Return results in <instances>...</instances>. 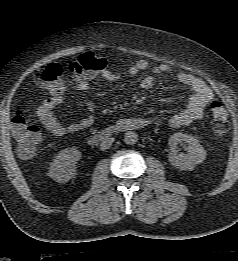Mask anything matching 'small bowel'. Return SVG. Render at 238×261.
Listing matches in <instances>:
<instances>
[{"instance_id":"obj_1","label":"small bowel","mask_w":238,"mask_h":261,"mask_svg":"<svg viewBox=\"0 0 238 261\" xmlns=\"http://www.w3.org/2000/svg\"><path fill=\"white\" fill-rule=\"evenodd\" d=\"M149 67L150 63L147 60H139L123 73L114 72L105 67L99 72V75L107 82H116L123 77L135 76L139 72L147 70ZM170 73H172L170 66L166 64L155 65L151 68V73L141 80L140 87L143 90H150L154 86L157 76ZM174 77L180 84L187 86L192 91L186 107L166 121L168 127L176 129L188 126L192 122L200 119L203 116L207 104L212 99L213 93L203 80L192 74L178 72ZM91 78L92 76H82L78 78L74 84V89L78 92L86 91L89 88ZM63 101L64 91L61 93L53 92L52 96L44 100L36 110L39 122L50 134L62 137L67 134L87 130L93 125L95 106L89 99H85L84 101L88 109V115L85 118L70 124L61 123L57 119L55 111L62 105ZM118 123H132L136 125L137 129L150 125H160L162 121L158 118L150 117H128L121 118Z\"/></svg>"}]
</instances>
